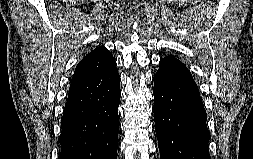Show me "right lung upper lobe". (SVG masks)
Instances as JSON below:
<instances>
[{"instance_id":"obj_1","label":"right lung upper lobe","mask_w":253,"mask_h":159,"mask_svg":"<svg viewBox=\"0 0 253 159\" xmlns=\"http://www.w3.org/2000/svg\"><path fill=\"white\" fill-rule=\"evenodd\" d=\"M114 62L112 54L104 46L96 47L77 65L70 87L103 72Z\"/></svg>"}]
</instances>
